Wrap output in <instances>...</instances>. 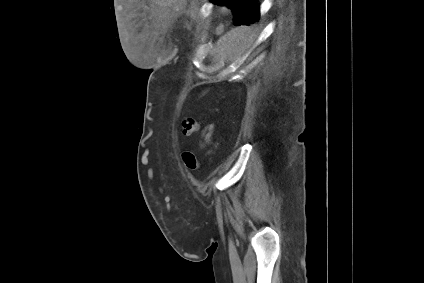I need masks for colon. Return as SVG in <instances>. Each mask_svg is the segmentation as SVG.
<instances>
[{
	"label": "colon",
	"instance_id": "1",
	"mask_svg": "<svg viewBox=\"0 0 424 283\" xmlns=\"http://www.w3.org/2000/svg\"><path fill=\"white\" fill-rule=\"evenodd\" d=\"M199 130V123L195 118L188 117L184 118L181 122V131L185 136H191L197 133ZM182 159L185 166L190 170H196L199 168V162L196 156L189 151L182 154Z\"/></svg>",
	"mask_w": 424,
	"mask_h": 283
}]
</instances>
